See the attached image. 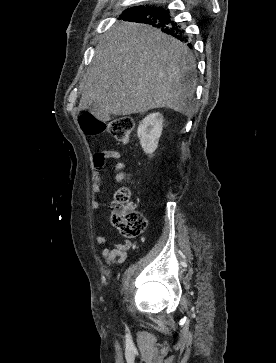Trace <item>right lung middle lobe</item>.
Returning <instances> with one entry per match:
<instances>
[{
    "instance_id": "dd1d6c3e",
    "label": "right lung middle lobe",
    "mask_w": 276,
    "mask_h": 363,
    "mask_svg": "<svg viewBox=\"0 0 276 363\" xmlns=\"http://www.w3.org/2000/svg\"><path fill=\"white\" fill-rule=\"evenodd\" d=\"M150 8H153L151 6H136V7H132V8H129L127 10H125L120 18H123V17H130V16H136L138 14H141V13H144L145 11L149 10Z\"/></svg>"
}]
</instances>
